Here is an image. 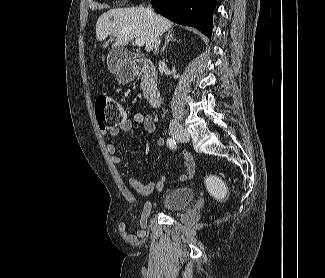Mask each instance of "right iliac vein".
I'll return each instance as SVG.
<instances>
[{"mask_svg": "<svg viewBox=\"0 0 325 278\" xmlns=\"http://www.w3.org/2000/svg\"><path fill=\"white\" fill-rule=\"evenodd\" d=\"M171 132H172L173 137L176 138L179 141L187 142L190 139L189 134L186 132V130H184L181 127H179V128H172L171 129Z\"/></svg>", "mask_w": 325, "mask_h": 278, "instance_id": "right-iliac-vein-1", "label": "right iliac vein"}]
</instances>
